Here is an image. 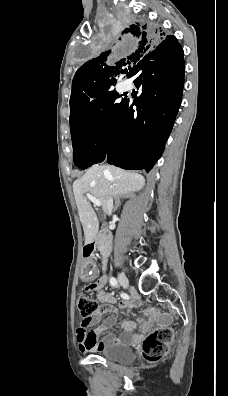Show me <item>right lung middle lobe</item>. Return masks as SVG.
<instances>
[{
  "mask_svg": "<svg viewBox=\"0 0 228 396\" xmlns=\"http://www.w3.org/2000/svg\"><path fill=\"white\" fill-rule=\"evenodd\" d=\"M135 25H132L133 27ZM124 25L121 24L114 35H118ZM129 29L123 32H128ZM122 32V34H123ZM111 39L106 40L109 44ZM120 95L115 91H106L87 109L70 119L74 163L80 169H86L105 158L109 134L114 126L117 113L124 101L116 103Z\"/></svg>",
  "mask_w": 228,
  "mask_h": 396,
  "instance_id": "1",
  "label": "right lung middle lobe"
}]
</instances>
